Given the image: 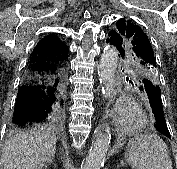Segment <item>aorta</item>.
I'll return each instance as SVG.
<instances>
[{
	"label": "aorta",
	"mask_w": 177,
	"mask_h": 169,
	"mask_svg": "<svg viewBox=\"0 0 177 169\" xmlns=\"http://www.w3.org/2000/svg\"><path fill=\"white\" fill-rule=\"evenodd\" d=\"M118 51L116 48H107L101 55L100 75L105 88V97L112 100L113 84L116 77ZM111 140L109 125H105L95 133L92 147L86 158L84 169H101L104 165Z\"/></svg>",
	"instance_id": "1"
}]
</instances>
